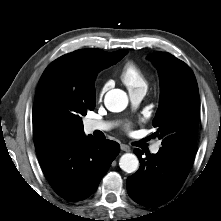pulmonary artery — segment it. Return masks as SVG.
I'll use <instances>...</instances> for the list:
<instances>
[{
	"label": "pulmonary artery",
	"instance_id": "e3ab8cb5",
	"mask_svg": "<svg viewBox=\"0 0 221 221\" xmlns=\"http://www.w3.org/2000/svg\"><path fill=\"white\" fill-rule=\"evenodd\" d=\"M145 92H146L145 89L129 91V97H130L131 102L134 105H137L142 100V98L144 97ZM111 127H112V123L106 122V121L89 120L85 124V129H86L87 132L107 131ZM160 147H161L160 143L155 144L151 148V152L154 153V154L158 153Z\"/></svg>",
	"mask_w": 221,
	"mask_h": 221
}]
</instances>
